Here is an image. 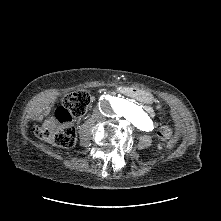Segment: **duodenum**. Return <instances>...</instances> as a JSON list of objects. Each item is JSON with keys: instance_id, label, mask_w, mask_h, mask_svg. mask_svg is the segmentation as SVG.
I'll return each instance as SVG.
<instances>
[{"instance_id": "obj_1", "label": "duodenum", "mask_w": 221, "mask_h": 221, "mask_svg": "<svg viewBox=\"0 0 221 221\" xmlns=\"http://www.w3.org/2000/svg\"><path fill=\"white\" fill-rule=\"evenodd\" d=\"M122 91H123V92H127V93L131 92V90L128 89V88H123Z\"/></svg>"}]
</instances>
